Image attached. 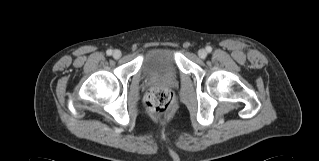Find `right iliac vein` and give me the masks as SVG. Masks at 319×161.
<instances>
[{"instance_id":"63e3f726","label":"right iliac vein","mask_w":319,"mask_h":161,"mask_svg":"<svg viewBox=\"0 0 319 161\" xmlns=\"http://www.w3.org/2000/svg\"><path fill=\"white\" fill-rule=\"evenodd\" d=\"M112 55H113V57L115 59H118V58L121 57V51L120 50H115Z\"/></svg>"}]
</instances>
